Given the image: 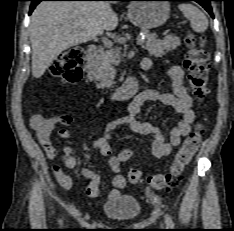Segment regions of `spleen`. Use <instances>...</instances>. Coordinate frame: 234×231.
Returning <instances> with one entry per match:
<instances>
[{"label": "spleen", "instance_id": "1", "mask_svg": "<svg viewBox=\"0 0 234 231\" xmlns=\"http://www.w3.org/2000/svg\"><path fill=\"white\" fill-rule=\"evenodd\" d=\"M180 11L183 13L190 23L192 29L201 33L207 30L208 28V19L202 11L190 3H182L179 5Z\"/></svg>", "mask_w": 234, "mask_h": 231}]
</instances>
